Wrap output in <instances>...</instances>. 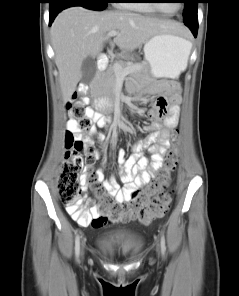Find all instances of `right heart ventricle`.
Segmentation results:
<instances>
[{
  "label": "right heart ventricle",
  "mask_w": 239,
  "mask_h": 296,
  "mask_svg": "<svg viewBox=\"0 0 239 296\" xmlns=\"http://www.w3.org/2000/svg\"><path fill=\"white\" fill-rule=\"evenodd\" d=\"M147 0H122L117 6L126 9L138 10L145 13H155V9L151 7Z\"/></svg>",
  "instance_id": "right-heart-ventricle-1"
}]
</instances>
